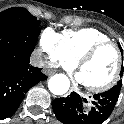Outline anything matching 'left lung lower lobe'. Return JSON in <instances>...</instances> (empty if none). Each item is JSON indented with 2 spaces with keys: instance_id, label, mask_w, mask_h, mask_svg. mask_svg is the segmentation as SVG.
<instances>
[{
  "instance_id": "left-lung-lower-lobe-1",
  "label": "left lung lower lobe",
  "mask_w": 124,
  "mask_h": 124,
  "mask_svg": "<svg viewBox=\"0 0 124 124\" xmlns=\"http://www.w3.org/2000/svg\"><path fill=\"white\" fill-rule=\"evenodd\" d=\"M121 87L115 85L110 90L93 96L92 107L84 113L83 104L86 98L72 92L67 97L56 98L52 108L57 119L64 124H101L113 112L118 101Z\"/></svg>"
}]
</instances>
